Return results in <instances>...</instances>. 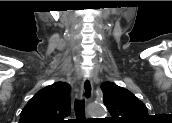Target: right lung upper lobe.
<instances>
[{
  "label": "right lung upper lobe",
  "mask_w": 172,
  "mask_h": 123,
  "mask_svg": "<svg viewBox=\"0 0 172 123\" xmlns=\"http://www.w3.org/2000/svg\"><path fill=\"white\" fill-rule=\"evenodd\" d=\"M70 114V86L56 82L39 90L23 108L19 123H64Z\"/></svg>",
  "instance_id": "right-lung-upper-lobe-1"
}]
</instances>
